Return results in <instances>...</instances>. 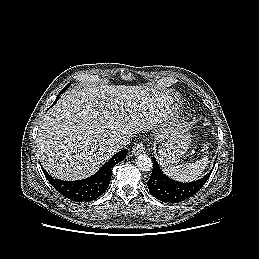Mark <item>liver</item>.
I'll list each match as a JSON object with an SVG mask.
<instances>
[{"instance_id":"1","label":"liver","mask_w":259,"mask_h":259,"mask_svg":"<svg viewBox=\"0 0 259 259\" xmlns=\"http://www.w3.org/2000/svg\"><path fill=\"white\" fill-rule=\"evenodd\" d=\"M170 104L168 96L143 86L67 91L41 122L37 135L41 164L58 179L87 178L117 152V141L167 119Z\"/></svg>"}]
</instances>
